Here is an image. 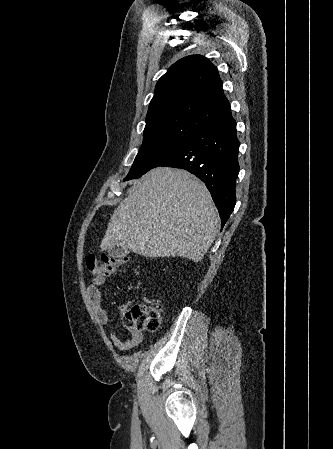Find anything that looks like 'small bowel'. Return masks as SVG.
Wrapping results in <instances>:
<instances>
[{
    "label": "small bowel",
    "instance_id": "c3829d8e",
    "mask_svg": "<svg viewBox=\"0 0 333 449\" xmlns=\"http://www.w3.org/2000/svg\"><path fill=\"white\" fill-rule=\"evenodd\" d=\"M107 275L102 274H94L88 283V296L90 299V302L93 306V310L96 316V319L98 323L102 326H108L110 323V316L109 313L102 307V295L100 291V287L103 285L105 278ZM127 305H121L118 308L119 314H124L125 309ZM127 330L130 333L129 338L122 339L120 338L116 333H111V339L114 344V346L118 350H130L132 348H135L138 346L143 339L142 332L137 330L136 328L132 326H128Z\"/></svg>",
    "mask_w": 333,
    "mask_h": 449
}]
</instances>
